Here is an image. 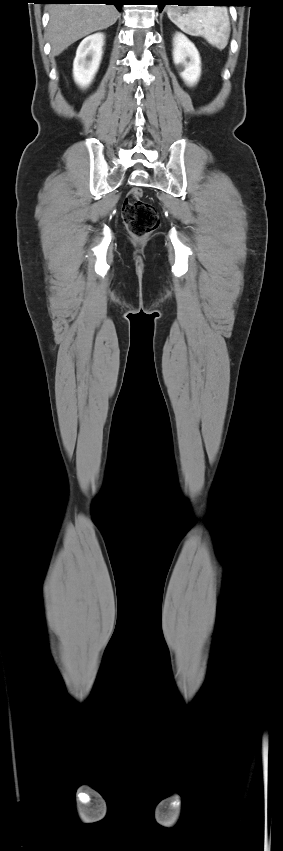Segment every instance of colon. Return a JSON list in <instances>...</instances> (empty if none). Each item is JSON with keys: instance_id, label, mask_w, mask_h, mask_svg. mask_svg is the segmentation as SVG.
I'll return each mask as SVG.
<instances>
[{"instance_id": "obj_1", "label": "colon", "mask_w": 283, "mask_h": 851, "mask_svg": "<svg viewBox=\"0 0 283 851\" xmlns=\"http://www.w3.org/2000/svg\"><path fill=\"white\" fill-rule=\"evenodd\" d=\"M122 217L129 233L136 239H143L155 231L160 223L156 208L142 200V190L134 187L127 193Z\"/></svg>"}]
</instances>
